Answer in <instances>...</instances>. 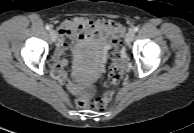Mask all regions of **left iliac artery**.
<instances>
[{"instance_id": "left-iliac-artery-1", "label": "left iliac artery", "mask_w": 194, "mask_h": 133, "mask_svg": "<svg viewBox=\"0 0 194 133\" xmlns=\"http://www.w3.org/2000/svg\"><path fill=\"white\" fill-rule=\"evenodd\" d=\"M138 30H139V27L136 26V27L134 28V32H137Z\"/></svg>"}]
</instances>
